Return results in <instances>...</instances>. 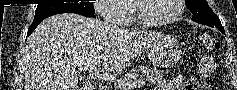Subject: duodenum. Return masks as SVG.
I'll return each instance as SVG.
<instances>
[{
	"label": "duodenum",
	"mask_w": 237,
	"mask_h": 90,
	"mask_svg": "<svg viewBox=\"0 0 237 90\" xmlns=\"http://www.w3.org/2000/svg\"><path fill=\"white\" fill-rule=\"evenodd\" d=\"M99 90H112V87H99Z\"/></svg>",
	"instance_id": "1"
}]
</instances>
